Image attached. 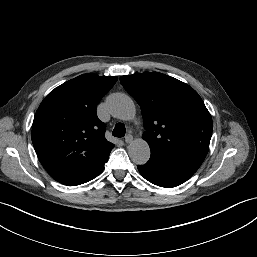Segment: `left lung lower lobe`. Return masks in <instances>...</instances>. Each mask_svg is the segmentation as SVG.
<instances>
[{
  "label": "left lung lower lobe",
  "instance_id": "obj_1",
  "mask_svg": "<svg viewBox=\"0 0 257 257\" xmlns=\"http://www.w3.org/2000/svg\"><path fill=\"white\" fill-rule=\"evenodd\" d=\"M206 155L197 153L162 154L151 152L145 165H139L140 174L149 182L166 188L188 180L200 167Z\"/></svg>",
  "mask_w": 257,
  "mask_h": 257
}]
</instances>
